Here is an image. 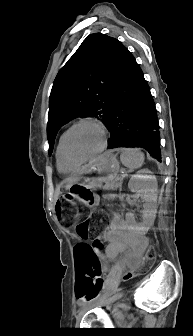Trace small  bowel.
<instances>
[{"label":"small bowel","mask_w":193,"mask_h":336,"mask_svg":"<svg viewBox=\"0 0 193 336\" xmlns=\"http://www.w3.org/2000/svg\"><path fill=\"white\" fill-rule=\"evenodd\" d=\"M103 237L108 241L104 255L98 254L100 259L113 261L120 255H124L121 263L130 270L135 269L140 264V252L145 247V239L137 234L131 226L121 217L113 219L110 227L103 233ZM108 271L107 283L114 285L118 281V270ZM93 281L87 273H81L78 287H82L86 293L91 295ZM82 301V300H80Z\"/></svg>","instance_id":"small-bowel-1"}]
</instances>
